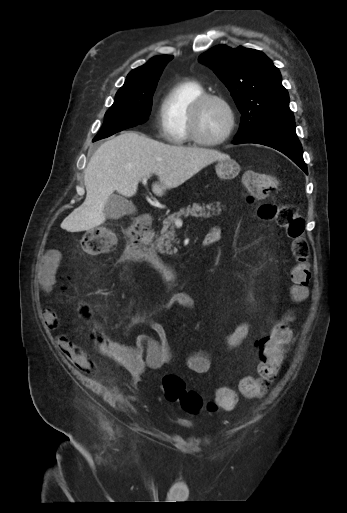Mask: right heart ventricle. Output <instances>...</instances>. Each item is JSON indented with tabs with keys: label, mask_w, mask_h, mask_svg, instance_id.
I'll use <instances>...</instances> for the list:
<instances>
[{
	"label": "right heart ventricle",
	"mask_w": 347,
	"mask_h": 513,
	"mask_svg": "<svg viewBox=\"0 0 347 513\" xmlns=\"http://www.w3.org/2000/svg\"><path fill=\"white\" fill-rule=\"evenodd\" d=\"M206 93L195 80L184 79L171 85L161 99L159 122L162 136L175 145L188 144V113L196 98Z\"/></svg>",
	"instance_id": "e07e8e85"
}]
</instances>
